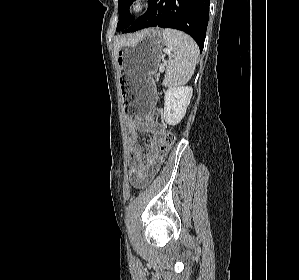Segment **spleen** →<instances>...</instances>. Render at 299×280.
Masks as SVG:
<instances>
[{
	"mask_svg": "<svg viewBox=\"0 0 299 280\" xmlns=\"http://www.w3.org/2000/svg\"><path fill=\"white\" fill-rule=\"evenodd\" d=\"M162 35L167 49L172 53V59L166 67L163 85L168 87L183 85L194 73L199 48L190 36L180 31L166 28Z\"/></svg>",
	"mask_w": 299,
	"mask_h": 280,
	"instance_id": "obj_1",
	"label": "spleen"
}]
</instances>
